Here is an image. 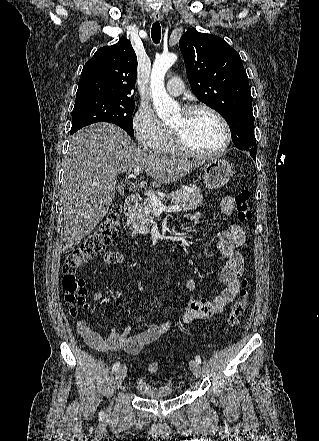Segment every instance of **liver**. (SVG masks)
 Masks as SVG:
<instances>
[{"mask_svg": "<svg viewBox=\"0 0 319 441\" xmlns=\"http://www.w3.org/2000/svg\"><path fill=\"white\" fill-rule=\"evenodd\" d=\"M202 163L140 149L120 127L89 125L70 138L64 159L63 251L69 253L91 233L115 198L118 174L140 168L160 183H172Z\"/></svg>", "mask_w": 319, "mask_h": 441, "instance_id": "6515ba94", "label": "liver"}]
</instances>
